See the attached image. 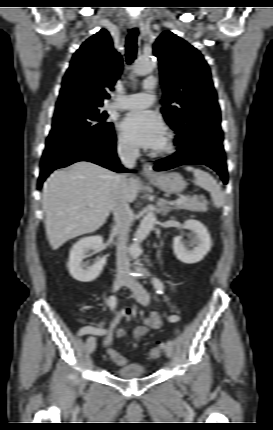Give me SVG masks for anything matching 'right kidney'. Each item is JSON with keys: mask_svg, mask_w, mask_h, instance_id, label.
Returning <instances> with one entry per match:
<instances>
[{"mask_svg": "<svg viewBox=\"0 0 273 430\" xmlns=\"http://www.w3.org/2000/svg\"><path fill=\"white\" fill-rule=\"evenodd\" d=\"M103 243V238L99 235L89 236L80 239L70 250L67 264L70 275L79 282H92L102 272L106 258H99L93 265L83 262L86 253L90 250H98Z\"/></svg>", "mask_w": 273, "mask_h": 430, "instance_id": "obj_1", "label": "right kidney"}]
</instances>
